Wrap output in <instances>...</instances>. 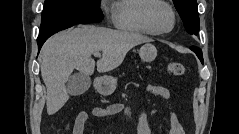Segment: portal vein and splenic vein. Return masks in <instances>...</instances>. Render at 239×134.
Returning <instances> with one entry per match:
<instances>
[{
	"label": "portal vein and splenic vein",
	"instance_id": "18ae733b",
	"mask_svg": "<svg viewBox=\"0 0 239 134\" xmlns=\"http://www.w3.org/2000/svg\"><path fill=\"white\" fill-rule=\"evenodd\" d=\"M94 56H95V57H99V56H100V52H95V53H94Z\"/></svg>",
	"mask_w": 239,
	"mask_h": 134
}]
</instances>
